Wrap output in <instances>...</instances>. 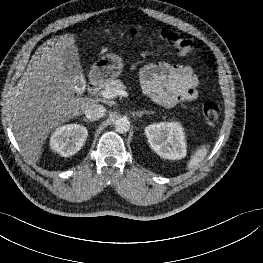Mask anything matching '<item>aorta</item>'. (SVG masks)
<instances>
[{"instance_id":"aorta-1","label":"aorta","mask_w":263,"mask_h":263,"mask_svg":"<svg viewBox=\"0 0 263 263\" xmlns=\"http://www.w3.org/2000/svg\"><path fill=\"white\" fill-rule=\"evenodd\" d=\"M130 129V121L126 117H120L115 122V130L119 133H126Z\"/></svg>"}]
</instances>
